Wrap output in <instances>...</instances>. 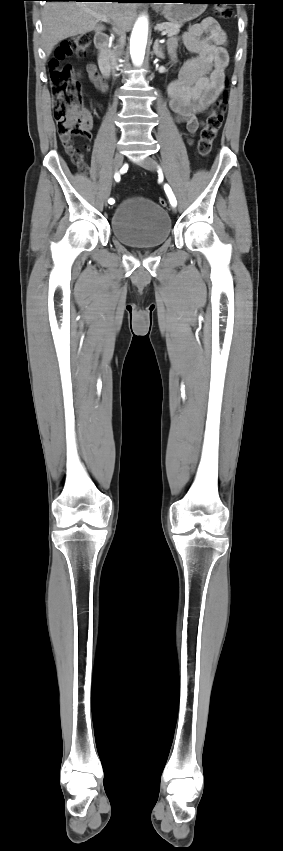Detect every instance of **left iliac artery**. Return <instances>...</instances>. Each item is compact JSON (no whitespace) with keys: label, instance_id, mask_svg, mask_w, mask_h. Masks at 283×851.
I'll return each mask as SVG.
<instances>
[{"label":"left iliac artery","instance_id":"44dca946","mask_svg":"<svg viewBox=\"0 0 283 851\" xmlns=\"http://www.w3.org/2000/svg\"><path fill=\"white\" fill-rule=\"evenodd\" d=\"M164 190H165V192H166V194H167V196H168V198H169V201H170L171 205H172V206H176L177 201H176V198H175V196H174V194H173V192H172V190H171L170 186L166 184V185L164 186Z\"/></svg>","mask_w":283,"mask_h":851}]
</instances>
